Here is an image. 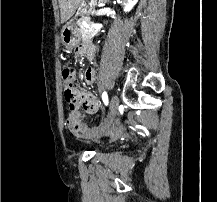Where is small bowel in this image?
<instances>
[{"instance_id": "c3829d8e", "label": "small bowel", "mask_w": 217, "mask_h": 202, "mask_svg": "<svg viewBox=\"0 0 217 202\" xmlns=\"http://www.w3.org/2000/svg\"><path fill=\"white\" fill-rule=\"evenodd\" d=\"M79 56L89 55L90 57H93L95 54V47L91 42L85 43L79 50ZM96 77V72L93 68H88L85 71L84 78L85 82L87 84H91L94 82ZM84 110L91 115H95L99 112L100 106L98 104V101L94 97L92 93H89L85 97V105H82ZM68 116H76V121H72L77 125V130L73 132L74 134H87L89 136H99L102 134H105L108 138L113 139L118 135V131H80V126H87L86 124L81 123V113L78 110H70Z\"/></svg>"}]
</instances>
